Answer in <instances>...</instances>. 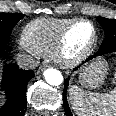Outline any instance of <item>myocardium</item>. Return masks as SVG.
I'll return each instance as SVG.
<instances>
[{"mask_svg":"<svg viewBox=\"0 0 116 116\" xmlns=\"http://www.w3.org/2000/svg\"><path fill=\"white\" fill-rule=\"evenodd\" d=\"M86 23L89 24L92 28V36L91 39L88 41V43L83 47V49L74 55L69 54V51L67 49V38L71 31L75 28V26ZM97 28L95 24L89 20V19H74L72 22H70L66 27L63 28V30L60 32L55 47L53 49V57L56 63L61 65L65 68H72L79 64H81L83 61L87 59V57L90 55L91 51L93 50L96 41H97Z\"/></svg>","mask_w":116,"mask_h":116,"instance_id":"myocardium-1","label":"myocardium"}]
</instances>
